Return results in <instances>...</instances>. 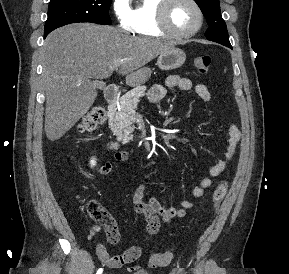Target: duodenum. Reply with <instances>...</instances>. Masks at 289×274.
Segmentation results:
<instances>
[{"instance_id": "1", "label": "duodenum", "mask_w": 289, "mask_h": 274, "mask_svg": "<svg viewBox=\"0 0 289 274\" xmlns=\"http://www.w3.org/2000/svg\"><path fill=\"white\" fill-rule=\"evenodd\" d=\"M119 97H120V90L117 85L111 84L106 88L105 99L109 104L110 110H113L115 108ZM105 144L109 149H115L118 146V143L114 140H106Z\"/></svg>"}]
</instances>
